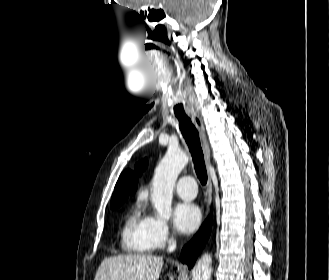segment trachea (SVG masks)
Returning a JSON list of instances; mask_svg holds the SVG:
<instances>
[{
    "mask_svg": "<svg viewBox=\"0 0 329 280\" xmlns=\"http://www.w3.org/2000/svg\"><path fill=\"white\" fill-rule=\"evenodd\" d=\"M179 121V128L189 147V151L193 158L194 168L197 177L202 185L207 182V170L204 161V155L201 148L199 133L186 114H176Z\"/></svg>",
    "mask_w": 329,
    "mask_h": 280,
    "instance_id": "3493384b",
    "label": "trachea"
}]
</instances>
